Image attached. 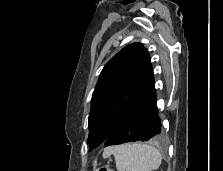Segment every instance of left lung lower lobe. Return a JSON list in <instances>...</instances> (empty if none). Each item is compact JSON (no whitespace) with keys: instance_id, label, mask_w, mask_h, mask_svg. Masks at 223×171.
<instances>
[{"instance_id":"obj_1","label":"left lung lower lobe","mask_w":223,"mask_h":171,"mask_svg":"<svg viewBox=\"0 0 223 171\" xmlns=\"http://www.w3.org/2000/svg\"><path fill=\"white\" fill-rule=\"evenodd\" d=\"M161 135V121L156 106L152 75L144 89L114 126L104 142V146L131 141H147L160 138Z\"/></svg>"}]
</instances>
